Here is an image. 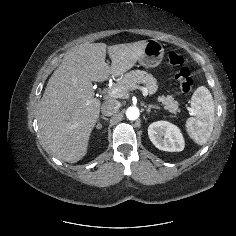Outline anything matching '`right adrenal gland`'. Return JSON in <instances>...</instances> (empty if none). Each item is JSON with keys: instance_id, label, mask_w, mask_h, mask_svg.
Wrapping results in <instances>:
<instances>
[{"instance_id": "2a0ac1e0", "label": "right adrenal gland", "mask_w": 236, "mask_h": 236, "mask_svg": "<svg viewBox=\"0 0 236 236\" xmlns=\"http://www.w3.org/2000/svg\"><path fill=\"white\" fill-rule=\"evenodd\" d=\"M104 120V121H108L109 119L108 118H106V117H104V116H100L99 118H98V123H97V129H101V127H102V125H101V123H100V120Z\"/></svg>"}]
</instances>
